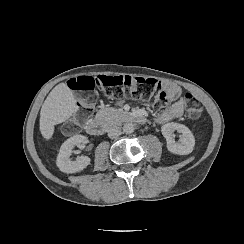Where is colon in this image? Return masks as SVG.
Instances as JSON below:
<instances>
[{
    "instance_id": "obj_1",
    "label": "colon",
    "mask_w": 244,
    "mask_h": 244,
    "mask_svg": "<svg viewBox=\"0 0 244 244\" xmlns=\"http://www.w3.org/2000/svg\"><path fill=\"white\" fill-rule=\"evenodd\" d=\"M70 88L82 94L80 102L82 106L75 113V117L68 120L64 126L65 132L69 134L77 133L87 122L94 110V103L97 101L96 88L104 91L108 98L122 99L130 96L134 99L151 100L157 103L158 107H164L168 104L166 91L154 78L119 75L106 76L96 74H85L73 78L69 82ZM186 104V116L189 119L197 120L202 115V103L192 93L184 94Z\"/></svg>"
}]
</instances>
